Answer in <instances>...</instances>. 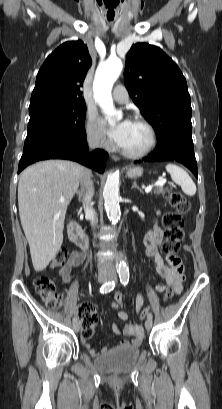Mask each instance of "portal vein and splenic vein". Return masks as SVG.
Wrapping results in <instances>:
<instances>
[{"label":"portal vein and splenic vein","instance_id":"obj_1","mask_svg":"<svg viewBox=\"0 0 222 409\" xmlns=\"http://www.w3.org/2000/svg\"><path fill=\"white\" fill-rule=\"evenodd\" d=\"M165 183H166L165 179H159L154 185L146 187L145 192L149 193L152 190L153 186H163Z\"/></svg>","mask_w":222,"mask_h":409}]
</instances>
